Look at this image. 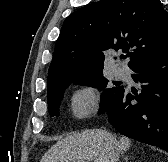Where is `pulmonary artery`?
I'll use <instances>...</instances> for the list:
<instances>
[{
  "mask_svg": "<svg viewBox=\"0 0 168 162\" xmlns=\"http://www.w3.org/2000/svg\"><path fill=\"white\" fill-rule=\"evenodd\" d=\"M116 76L119 78L128 77V71L125 68H120L116 71Z\"/></svg>",
  "mask_w": 168,
  "mask_h": 162,
  "instance_id": "obj_1",
  "label": "pulmonary artery"
}]
</instances>
